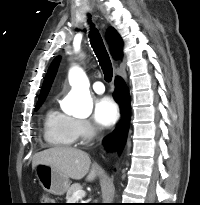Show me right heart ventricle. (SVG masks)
<instances>
[{
	"label": "right heart ventricle",
	"mask_w": 200,
	"mask_h": 205,
	"mask_svg": "<svg viewBox=\"0 0 200 205\" xmlns=\"http://www.w3.org/2000/svg\"><path fill=\"white\" fill-rule=\"evenodd\" d=\"M45 141L55 147H71L76 141L74 118L50 108L43 121Z\"/></svg>",
	"instance_id": "obj_1"
}]
</instances>
